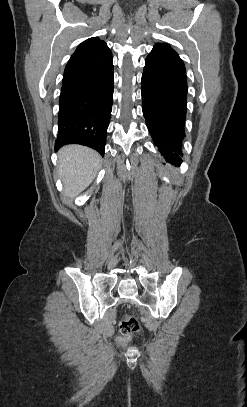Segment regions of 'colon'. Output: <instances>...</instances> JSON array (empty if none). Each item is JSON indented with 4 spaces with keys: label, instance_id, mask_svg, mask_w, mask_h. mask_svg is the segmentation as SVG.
<instances>
[{
    "label": "colon",
    "instance_id": "1",
    "mask_svg": "<svg viewBox=\"0 0 247 407\" xmlns=\"http://www.w3.org/2000/svg\"><path fill=\"white\" fill-rule=\"evenodd\" d=\"M140 329L139 322L133 316H125L120 323V336L118 342L121 345H126L131 336Z\"/></svg>",
    "mask_w": 247,
    "mask_h": 407
}]
</instances>
